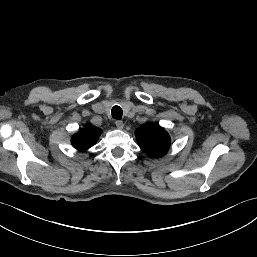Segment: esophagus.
<instances>
[{
    "label": "esophagus",
    "mask_w": 257,
    "mask_h": 257,
    "mask_svg": "<svg viewBox=\"0 0 257 257\" xmlns=\"http://www.w3.org/2000/svg\"><path fill=\"white\" fill-rule=\"evenodd\" d=\"M115 124L118 129H123L124 127V123L121 120H117Z\"/></svg>",
    "instance_id": "1"
}]
</instances>
